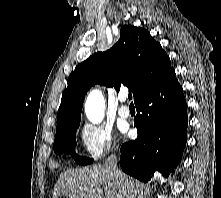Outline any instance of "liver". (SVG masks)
Instances as JSON below:
<instances>
[{
	"instance_id": "liver-1",
	"label": "liver",
	"mask_w": 221,
	"mask_h": 198,
	"mask_svg": "<svg viewBox=\"0 0 221 198\" xmlns=\"http://www.w3.org/2000/svg\"><path fill=\"white\" fill-rule=\"evenodd\" d=\"M60 195L67 198H124L118 181L101 165L64 171L54 187L53 198Z\"/></svg>"
}]
</instances>
